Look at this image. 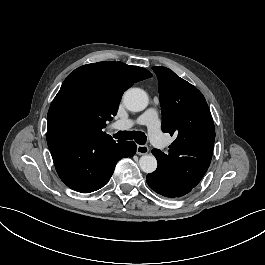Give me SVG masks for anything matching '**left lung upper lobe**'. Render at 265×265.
Wrapping results in <instances>:
<instances>
[{
    "mask_svg": "<svg viewBox=\"0 0 265 265\" xmlns=\"http://www.w3.org/2000/svg\"><path fill=\"white\" fill-rule=\"evenodd\" d=\"M159 81L162 130L175 135L165 154L153 149L158 164L196 187L213 154L215 127L202 93L165 67L152 68Z\"/></svg>",
    "mask_w": 265,
    "mask_h": 265,
    "instance_id": "1",
    "label": "left lung upper lobe"
}]
</instances>
